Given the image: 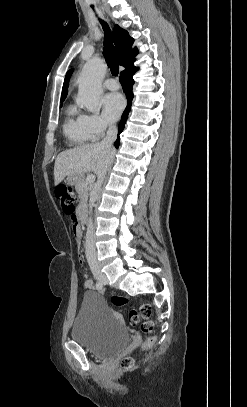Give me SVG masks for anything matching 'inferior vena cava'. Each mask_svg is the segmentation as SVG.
Segmentation results:
<instances>
[{
    "instance_id": "obj_1",
    "label": "inferior vena cava",
    "mask_w": 247,
    "mask_h": 407,
    "mask_svg": "<svg viewBox=\"0 0 247 407\" xmlns=\"http://www.w3.org/2000/svg\"><path fill=\"white\" fill-rule=\"evenodd\" d=\"M117 137V127L113 124H109V128L107 130V135L106 137L101 141L100 145L102 147H105L107 149H112V145L114 141L116 140ZM106 171L102 172L98 176L97 183L95 185V192H98L100 189L104 178H105ZM92 209V207H90ZM85 253H86V258L89 264H96L97 263V255H96V249L94 245V239H93V223L92 220H89L88 227H87V233H86V244H85Z\"/></svg>"
}]
</instances>
